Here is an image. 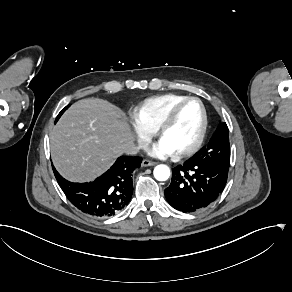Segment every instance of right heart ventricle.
Instances as JSON below:
<instances>
[{"label": "right heart ventricle", "instance_id": "1", "mask_svg": "<svg viewBox=\"0 0 292 292\" xmlns=\"http://www.w3.org/2000/svg\"><path fill=\"white\" fill-rule=\"evenodd\" d=\"M186 97V95L172 92L152 96L139 105L132 107V116L140 125L151 130L157 129L168 109Z\"/></svg>", "mask_w": 292, "mask_h": 292}]
</instances>
